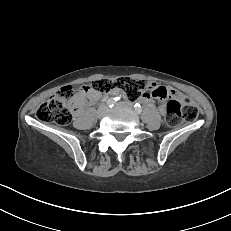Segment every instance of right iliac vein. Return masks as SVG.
Listing matches in <instances>:
<instances>
[{"mask_svg":"<svg viewBox=\"0 0 231 231\" xmlns=\"http://www.w3.org/2000/svg\"><path fill=\"white\" fill-rule=\"evenodd\" d=\"M106 111H107V108H106V107H101V108H99L98 111H97V116H98V117L103 116V115L106 113Z\"/></svg>","mask_w":231,"mask_h":231,"instance_id":"right-iliac-vein-1","label":"right iliac vein"}]
</instances>
